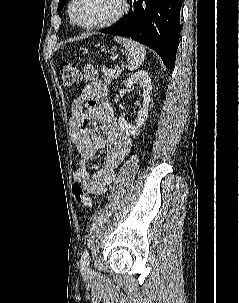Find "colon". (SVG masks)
<instances>
[{"label":"colon","mask_w":239,"mask_h":303,"mask_svg":"<svg viewBox=\"0 0 239 303\" xmlns=\"http://www.w3.org/2000/svg\"><path fill=\"white\" fill-rule=\"evenodd\" d=\"M60 72L62 76V83L65 86L76 85L82 79L81 72L74 62H62L60 65ZM72 196L74 201L78 204L85 207H90L92 205L91 199L85 194L84 189L79 184L73 185Z\"/></svg>","instance_id":"1"}]
</instances>
